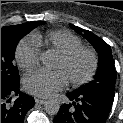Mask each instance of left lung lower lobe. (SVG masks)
<instances>
[{
    "label": "left lung lower lobe",
    "instance_id": "0a47b994",
    "mask_svg": "<svg viewBox=\"0 0 123 123\" xmlns=\"http://www.w3.org/2000/svg\"><path fill=\"white\" fill-rule=\"evenodd\" d=\"M66 95L72 103L60 107L54 123H105L114 101L102 93L73 91Z\"/></svg>",
    "mask_w": 123,
    "mask_h": 123
}]
</instances>
